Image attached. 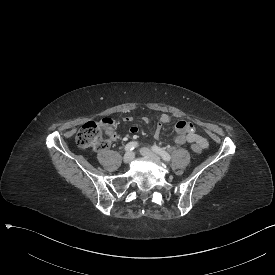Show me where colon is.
<instances>
[{"instance_id":"1","label":"colon","mask_w":275,"mask_h":275,"mask_svg":"<svg viewBox=\"0 0 275 275\" xmlns=\"http://www.w3.org/2000/svg\"><path fill=\"white\" fill-rule=\"evenodd\" d=\"M116 137L115 123L111 118H105L101 121H88L83 124L76 135V144L81 148L92 147L101 148L102 143H111ZM204 143H194L192 149L199 153L205 149Z\"/></svg>"}]
</instances>
